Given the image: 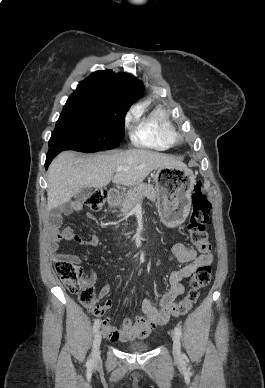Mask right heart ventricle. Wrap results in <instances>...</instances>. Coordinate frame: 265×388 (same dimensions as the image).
<instances>
[{
  "label": "right heart ventricle",
  "instance_id": "right-heart-ventricle-1",
  "mask_svg": "<svg viewBox=\"0 0 265 388\" xmlns=\"http://www.w3.org/2000/svg\"><path fill=\"white\" fill-rule=\"evenodd\" d=\"M142 111L143 108L137 111V118ZM174 132L165 110L158 107L134 128L132 136L137 143L147 144L156 149H165L175 142Z\"/></svg>",
  "mask_w": 265,
  "mask_h": 388
}]
</instances>
